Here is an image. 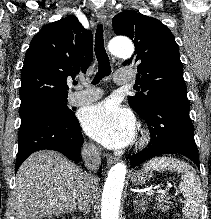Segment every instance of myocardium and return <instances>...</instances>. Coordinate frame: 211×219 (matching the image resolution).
<instances>
[{"label":"myocardium","mask_w":211,"mask_h":219,"mask_svg":"<svg viewBox=\"0 0 211 219\" xmlns=\"http://www.w3.org/2000/svg\"><path fill=\"white\" fill-rule=\"evenodd\" d=\"M149 140V134L147 131H144L140 137L139 144L145 145Z\"/></svg>","instance_id":"1"}]
</instances>
